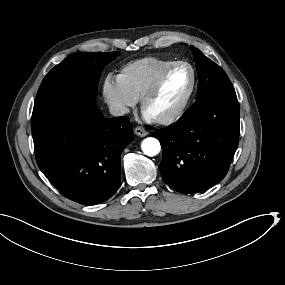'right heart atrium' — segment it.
<instances>
[{
	"label": "right heart atrium",
	"instance_id": "obj_1",
	"mask_svg": "<svg viewBox=\"0 0 285 285\" xmlns=\"http://www.w3.org/2000/svg\"><path fill=\"white\" fill-rule=\"evenodd\" d=\"M102 94L108 107L119 116L126 115L137 103V99L125 89L113 72L104 76Z\"/></svg>",
	"mask_w": 285,
	"mask_h": 285
}]
</instances>
